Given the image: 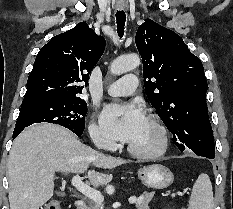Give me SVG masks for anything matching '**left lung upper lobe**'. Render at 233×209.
<instances>
[{"label": "left lung upper lobe", "mask_w": 233, "mask_h": 209, "mask_svg": "<svg viewBox=\"0 0 233 209\" xmlns=\"http://www.w3.org/2000/svg\"><path fill=\"white\" fill-rule=\"evenodd\" d=\"M144 86L151 105L173 134L175 145L214 158L202 62L175 32L147 19L137 30Z\"/></svg>", "instance_id": "5c2ea615"}]
</instances>
